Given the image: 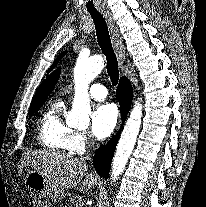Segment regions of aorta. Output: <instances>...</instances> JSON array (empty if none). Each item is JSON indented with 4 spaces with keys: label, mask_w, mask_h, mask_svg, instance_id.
Returning <instances> with one entry per match:
<instances>
[{
    "label": "aorta",
    "mask_w": 206,
    "mask_h": 207,
    "mask_svg": "<svg viewBox=\"0 0 206 207\" xmlns=\"http://www.w3.org/2000/svg\"><path fill=\"white\" fill-rule=\"evenodd\" d=\"M104 68V59L100 55L90 58L79 57L74 68L75 95L72 109L66 122L73 126H83L89 122L91 113L88 95L89 83ZM142 119V105L136 102L121 133L112 162L111 178L117 180L122 174L134 149Z\"/></svg>",
    "instance_id": "aorta-1"
}]
</instances>
